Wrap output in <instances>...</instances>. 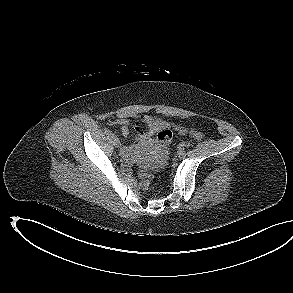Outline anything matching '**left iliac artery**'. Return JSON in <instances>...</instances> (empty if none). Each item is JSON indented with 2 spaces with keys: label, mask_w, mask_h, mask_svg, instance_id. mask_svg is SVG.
Here are the masks:
<instances>
[{
  "label": "left iliac artery",
  "mask_w": 293,
  "mask_h": 293,
  "mask_svg": "<svg viewBox=\"0 0 293 293\" xmlns=\"http://www.w3.org/2000/svg\"><path fill=\"white\" fill-rule=\"evenodd\" d=\"M188 148V144L183 142L179 146V151H185Z\"/></svg>",
  "instance_id": "obj_1"
}]
</instances>
